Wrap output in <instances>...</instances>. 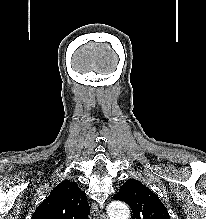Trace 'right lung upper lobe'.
Masks as SVG:
<instances>
[{
    "label": "right lung upper lobe",
    "mask_w": 206,
    "mask_h": 219,
    "mask_svg": "<svg viewBox=\"0 0 206 219\" xmlns=\"http://www.w3.org/2000/svg\"><path fill=\"white\" fill-rule=\"evenodd\" d=\"M86 195L71 181L58 184L38 206L31 219H88Z\"/></svg>",
    "instance_id": "right-lung-upper-lobe-1"
}]
</instances>
